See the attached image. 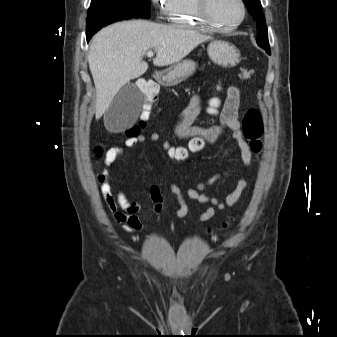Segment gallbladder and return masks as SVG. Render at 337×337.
<instances>
[{
    "label": "gallbladder",
    "mask_w": 337,
    "mask_h": 337,
    "mask_svg": "<svg viewBox=\"0 0 337 337\" xmlns=\"http://www.w3.org/2000/svg\"><path fill=\"white\" fill-rule=\"evenodd\" d=\"M142 104V96L137 87L134 84L124 85L104 114L106 128L120 132L132 126L141 112Z\"/></svg>",
    "instance_id": "gallbladder-1"
}]
</instances>
